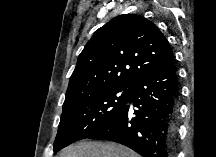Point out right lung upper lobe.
Instances as JSON below:
<instances>
[{
	"instance_id": "obj_1",
	"label": "right lung upper lobe",
	"mask_w": 216,
	"mask_h": 157,
	"mask_svg": "<svg viewBox=\"0 0 216 157\" xmlns=\"http://www.w3.org/2000/svg\"><path fill=\"white\" fill-rule=\"evenodd\" d=\"M171 55L170 44L153 22L136 14L117 16L85 45L63 106L89 91L132 85Z\"/></svg>"
}]
</instances>
